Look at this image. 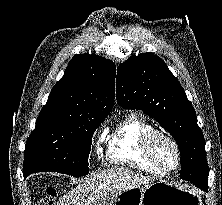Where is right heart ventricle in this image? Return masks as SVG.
I'll list each match as a JSON object with an SVG mask.
<instances>
[{
    "label": "right heart ventricle",
    "mask_w": 222,
    "mask_h": 205,
    "mask_svg": "<svg viewBox=\"0 0 222 205\" xmlns=\"http://www.w3.org/2000/svg\"><path fill=\"white\" fill-rule=\"evenodd\" d=\"M152 129L153 127L139 115L129 116L111 137L108 149L109 160L153 175H163V172L149 162L143 148V139Z\"/></svg>",
    "instance_id": "right-heart-ventricle-1"
}]
</instances>
